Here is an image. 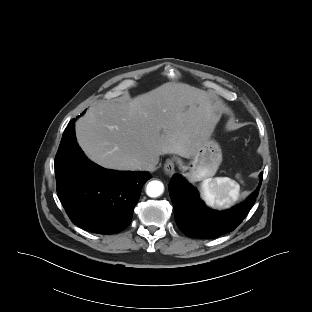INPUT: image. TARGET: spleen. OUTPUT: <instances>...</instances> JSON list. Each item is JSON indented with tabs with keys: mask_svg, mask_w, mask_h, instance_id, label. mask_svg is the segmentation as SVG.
<instances>
[{
	"mask_svg": "<svg viewBox=\"0 0 312 312\" xmlns=\"http://www.w3.org/2000/svg\"><path fill=\"white\" fill-rule=\"evenodd\" d=\"M202 199L215 208H229L240 195L239 184L228 177L205 179L200 185Z\"/></svg>",
	"mask_w": 312,
	"mask_h": 312,
	"instance_id": "1",
	"label": "spleen"
}]
</instances>
